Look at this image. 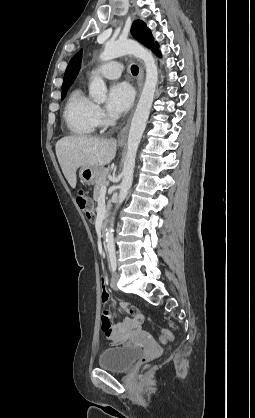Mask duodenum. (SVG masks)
<instances>
[{"label":"duodenum","instance_id":"obj_1","mask_svg":"<svg viewBox=\"0 0 255 418\" xmlns=\"http://www.w3.org/2000/svg\"><path fill=\"white\" fill-rule=\"evenodd\" d=\"M108 227V218L105 215L100 224V234L103 236L106 233Z\"/></svg>","mask_w":255,"mask_h":418}]
</instances>
